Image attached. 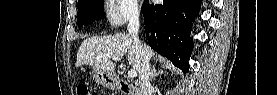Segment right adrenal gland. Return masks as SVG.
Listing matches in <instances>:
<instances>
[{"label": "right adrenal gland", "mask_w": 277, "mask_h": 95, "mask_svg": "<svg viewBox=\"0 0 277 95\" xmlns=\"http://www.w3.org/2000/svg\"><path fill=\"white\" fill-rule=\"evenodd\" d=\"M163 74V71H157L155 66L150 70V80L153 81L156 76Z\"/></svg>", "instance_id": "obj_1"}]
</instances>
